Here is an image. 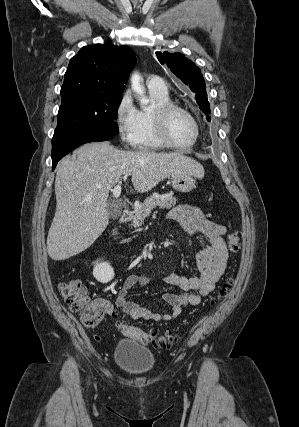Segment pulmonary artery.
Listing matches in <instances>:
<instances>
[{
	"label": "pulmonary artery",
	"instance_id": "e3ab8cb5",
	"mask_svg": "<svg viewBox=\"0 0 299 427\" xmlns=\"http://www.w3.org/2000/svg\"><path fill=\"white\" fill-rule=\"evenodd\" d=\"M147 86L150 90H154L160 93L168 92L166 82L159 76H152L147 81Z\"/></svg>",
	"mask_w": 299,
	"mask_h": 427
}]
</instances>
